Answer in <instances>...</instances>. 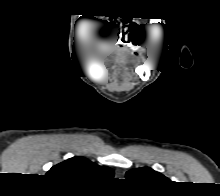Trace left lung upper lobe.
<instances>
[{
  "instance_id": "left-lung-upper-lobe-1",
  "label": "left lung upper lobe",
  "mask_w": 220,
  "mask_h": 196,
  "mask_svg": "<svg viewBox=\"0 0 220 196\" xmlns=\"http://www.w3.org/2000/svg\"><path fill=\"white\" fill-rule=\"evenodd\" d=\"M126 177L130 181L142 184H157L169 181L161 173L154 171L151 168H138L130 170L126 173Z\"/></svg>"
}]
</instances>
